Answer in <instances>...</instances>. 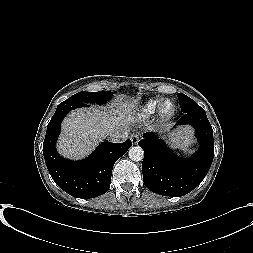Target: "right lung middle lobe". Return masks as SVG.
<instances>
[{"instance_id": "1", "label": "right lung middle lobe", "mask_w": 253, "mask_h": 253, "mask_svg": "<svg viewBox=\"0 0 253 253\" xmlns=\"http://www.w3.org/2000/svg\"><path fill=\"white\" fill-rule=\"evenodd\" d=\"M112 92L109 91H99V92H79L75 95L71 96L64 102L66 104H77V103H105L110 96H112Z\"/></svg>"}]
</instances>
